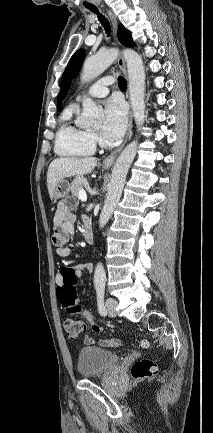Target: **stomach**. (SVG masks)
<instances>
[{
    "label": "stomach",
    "instance_id": "obj_1",
    "mask_svg": "<svg viewBox=\"0 0 213 433\" xmlns=\"http://www.w3.org/2000/svg\"><path fill=\"white\" fill-rule=\"evenodd\" d=\"M69 191H70V184L67 180L63 179L55 187L51 199L53 201H56L58 199L64 198L69 194Z\"/></svg>",
    "mask_w": 213,
    "mask_h": 433
}]
</instances>
